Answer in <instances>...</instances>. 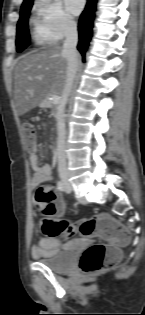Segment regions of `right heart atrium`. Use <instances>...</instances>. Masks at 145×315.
<instances>
[{
  "mask_svg": "<svg viewBox=\"0 0 145 315\" xmlns=\"http://www.w3.org/2000/svg\"><path fill=\"white\" fill-rule=\"evenodd\" d=\"M34 10L36 21L49 41L59 42L75 32L74 19L57 0H38Z\"/></svg>",
  "mask_w": 145,
  "mask_h": 315,
  "instance_id": "obj_1",
  "label": "right heart atrium"
}]
</instances>
